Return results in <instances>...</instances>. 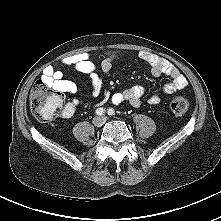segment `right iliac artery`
Listing matches in <instances>:
<instances>
[{
    "instance_id": "right-iliac-artery-1",
    "label": "right iliac artery",
    "mask_w": 221,
    "mask_h": 221,
    "mask_svg": "<svg viewBox=\"0 0 221 221\" xmlns=\"http://www.w3.org/2000/svg\"><path fill=\"white\" fill-rule=\"evenodd\" d=\"M105 113V109H103V108H98L97 110H96V114L97 115H103Z\"/></svg>"
}]
</instances>
